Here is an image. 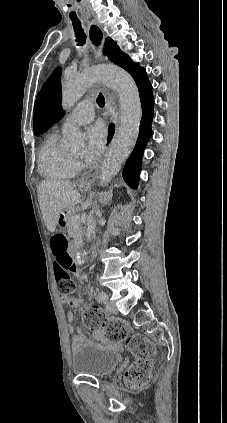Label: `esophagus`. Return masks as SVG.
<instances>
[{"label":"esophagus","mask_w":227,"mask_h":423,"mask_svg":"<svg viewBox=\"0 0 227 423\" xmlns=\"http://www.w3.org/2000/svg\"><path fill=\"white\" fill-rule=\"evenodd\" d=\"M88 38L91 51L96 60H101L103 58V45L105 40V34L102 28L94 21H88L87 23ZM108 112L112 114V120L116 118L117 107L113 101H109L107 105ZM108 135L106 136L105 141L103 142L104 148H110L111 144L114 142L115 135L117 134L116 125H109ZM99 169H96L90 175L85 176L81 181L85 183H94L99 177Z\"/></svg>","instance_id":"esophagus-1"}]
</instances>
